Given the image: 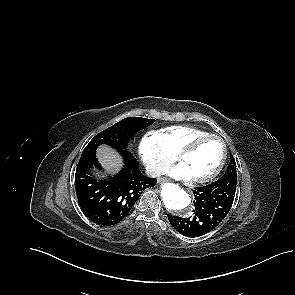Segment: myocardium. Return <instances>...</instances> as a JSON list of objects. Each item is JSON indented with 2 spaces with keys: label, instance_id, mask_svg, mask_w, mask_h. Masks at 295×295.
Instances as JSON below:
<instances>
[{
  "label": "myocardium",
  "instance_id": "obj_1",
  "mask_svg": "<svg viewBox=\"0 0 295 295\" xmlns=\"http://www.w3.org/2000/svg\"><path fill=\"white\" fill-rule=\"evenodd\" d=\"M208 139H216L221 143V146H222L221 158H220L218 165L215 167V169L212 172H210L208 175L203 176V177L190 178V180L194 183H198V184L208 183V182L212 181L214 178H216L218 176V174L221 172V170L223 169V167L225 165L226 159H227V146H226L224 139L221 136L216 135V134H212V133L200 135V136H197V137L193 138L192 140H190L176 154L177 160L181 162L182 159L186 155L193 152L200 143H202L203 141L208 140Z\"/></svg>",
  "mask_w": 295,
  "mask_h": 295
}]
</instances>
